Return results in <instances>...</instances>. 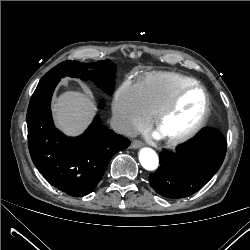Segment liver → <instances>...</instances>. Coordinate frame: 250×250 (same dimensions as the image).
<instances>
[{"label": "liver", "instance_id": "6515ba94", "mask_svg": "<svg viewBox=\"0 0 250 250\" xmlns=\"http://www.w3.org/2000/svg\"><path fill=\"white\" fill-rule=\"evenodd\" d=\"M53 112L59 128L68 135H77L90 123L95 105L89 96L67 91L54 101Z\"/></svg>", "mask_w": 250, "mask_h": 250}]
</instances>
